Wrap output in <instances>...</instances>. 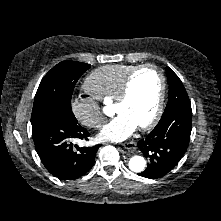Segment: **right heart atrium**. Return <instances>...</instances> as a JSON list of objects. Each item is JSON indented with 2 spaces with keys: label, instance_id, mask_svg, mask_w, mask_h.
Returning <instances> with one entry per match:
<instances>
[{
  "label": "right heart atrium",
  "instance_id": "obj_1",
  "mask_svg": "<svg viewBox=\"0 0 221 221\" xmlns=\"http://www.w3.org/2000/svg\"><path fill=\"white\" fill-rule=\"evenodd\" d=\"M70 109L76 120L83 126L99 128L104 122V114L99 103L90 95L73 96Z\"/></svg>",
  "mask_w": 221,
  "mask_h": 221
}]
</instances>
